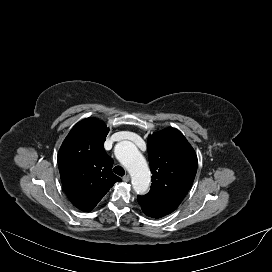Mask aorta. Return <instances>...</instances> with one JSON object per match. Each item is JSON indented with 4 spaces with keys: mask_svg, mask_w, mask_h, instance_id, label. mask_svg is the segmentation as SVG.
<instances>
[{
    "mask_svg": "<svg viewBox=\"0 0 272 272\" xmlns=\"http://www.w3.org/2000/svg\"><path fill=\"white\" fill-rule=\"evenodd\" d=\"M115 153L130 173L135 192L145 193L150 185V172L145 158L137 147L132 142L122 141L116 146Z\"/></svg>",
    "mask_w": 272,
    "mask_h": 272,
    "instance_id": "762f6f07",
    "label": "aorta"
}]
</instances>
